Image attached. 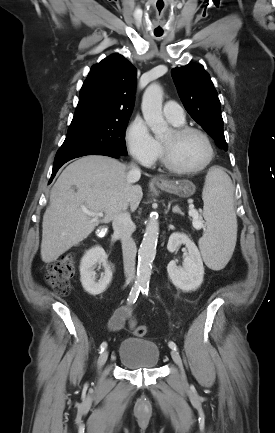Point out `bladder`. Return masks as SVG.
I'll list each match as a JSON object with an SVG mask.
<instances>
[{
  "label": "bladder",
  "mask_w": 275,
  "mask_h": 433,
  "mask_svg": "<svg viewBox=\"0 0 275 433\" xmlns=\"http://www.w3.org/2000/svg\"><path fill=\"white\" fill-rule=\"evenodd\" d=\"M160 358L159 347L152 341L128 337L118 350V361L132 369H153Z\"/></svg>",
  "instance_id": "obj_1"
}]
</instances>
